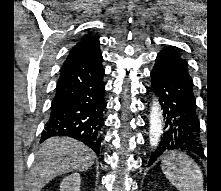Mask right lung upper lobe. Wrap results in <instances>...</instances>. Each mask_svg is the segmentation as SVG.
<instances>
[{
	"instance_id": "right-lung-upper-lobe-1",
	"label": "right lung upper lobe",
	"mask_w": 221,
	"mask_h": 191,
	"mask_svg": "<svg viewBox=\"0 0 221 191\" xmlns=\"http://www.w3.org/2000/svg\"><path fill=\"white\" fill-rule=\"evenodd\" d=\"M99 54L101 52L98 38L86 36L73 47L64 65Z\"/></svg>"
}]
</instances>
